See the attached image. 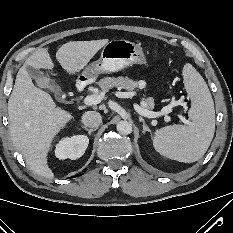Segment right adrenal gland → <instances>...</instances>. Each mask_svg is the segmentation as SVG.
<instances>
[{
  "label": "right adrenal gland",
  "mask_w": 233,
  "mask_h": 233,
  "mask_svg": "<svg viewBox=\"0 0 233 233\" xmlns=\"http://www.w3.org/2000/svg\"><path fill=\"white\" fill-rule=\"evenodd\" d=\"M81 127H82L83 129H85V130L88 132L89 135H91V133L94 132V131L96 130L95 128L89 129V128H87V127L84 126V125H81Z\"/></svg>",
  "instance_id": "obj_1"
}]
</instances>
